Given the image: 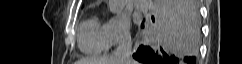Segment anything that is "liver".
<instances>
[{"instance_id":"obj_1","label":"liver","mask_w":242,"mask_h":64,"mask_svg":"<svg viewBox=\"0 0 242 64\" xmlns=\"http://www.w3.org/2000/svg\"><path fill=\"white\" fill-rule=\"evenodd\" d=\"M173 28L181 33L190 34L195 39L199 37V29L190 21L188 15H184L180 27L173 26ZM75 64H117V61L113 57H102L98 59H80ZM131 64L138 63L132 60Z\"/></svg>"}]
</instances>
